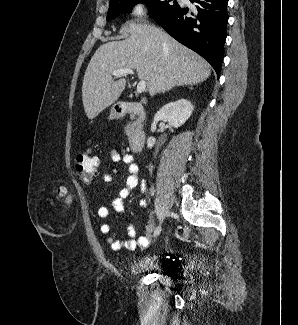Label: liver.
I'll list each match as a JSON object with an SVG mask.
<instances>
[{
	"instance_id": "6515ba94",
	"label": "liver",
	"mask_w": 298,
	"mask_h": 325,
	"mask_svg": "<svg viewBox=\"0 0 298 325\" xmlns=\"http://www.w3.org/2000/svg\"><path fill=\"white\" fill-rule=\"evenodd\" d=\"M120 32H129L128 38L101 44L85 70L82 102L90 120L125 90L126 78L114 80L111 74L116 68H136L151 96L177 84H198L211 74L207 60L155 24L128 22Z\"/></svg>"
}]
</instances>
